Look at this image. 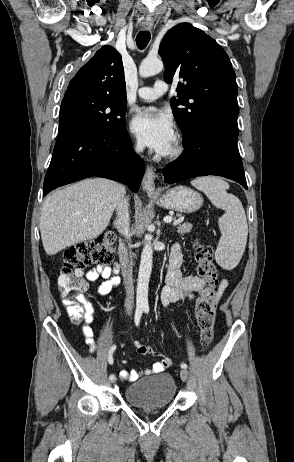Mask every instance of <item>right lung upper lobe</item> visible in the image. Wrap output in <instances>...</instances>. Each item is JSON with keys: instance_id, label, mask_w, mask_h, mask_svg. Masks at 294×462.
I'll return each instance as SVG.
<instances>
[{"instance_id": "cb5924a9", "label": "right lung upper lobe", "mask_w": 294, "mask_h": 462, "mask_svg": "<svg viewBox=\"0 0 294 462\" xmlns=\"http://www.w3.org/2000/svg\"><path fill=\"white\" fill-rule=\"evenodd\" d=\"M82 95L126 99L122 58L112 46L101 47L77 72L63 99Z\"/></svg>"}]
</instances>
